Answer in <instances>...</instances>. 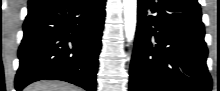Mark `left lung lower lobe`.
Listing matches in <instances>:
<instances>
[{
  "instance_id": "1",
  "label": "left lung lower lobe",
  "mask_w": 220,
  "mask_h": 91,
  "mask_svg": "<svg viewBox=\"0 0 220 91\" xmlns=\"http://www.w3.org/2000/svg\"><path fill=\"white\" fill-rule=\"evenodd\" d=\"M197 0H138L130 91H211Z\"/></svg>"
}]
</instances>
